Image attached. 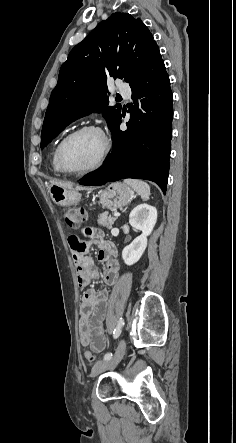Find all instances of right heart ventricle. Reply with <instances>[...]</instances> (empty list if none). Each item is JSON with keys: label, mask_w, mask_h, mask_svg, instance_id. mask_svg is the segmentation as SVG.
<instances>
[{"label": "right heart ventricle", "mask_w": 236, "mask_h": 443, "mask_svg": "<svg viewBox=\"0 0 236 443\" xmlns=\"http://www.w3.org/2000/svg\"><path fill=\"white\" fill-rule=\"evenodd\" d=\"M63 138H64V136H62L58 139V141L54 145L53 152H52L51 164H52L53 170L56 173H62L61 169L58 166V162H57V149H58V146Z\"/></svg>", "instance_id": "1"}]
</instances>
